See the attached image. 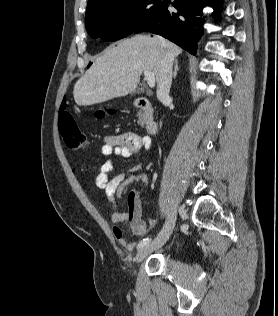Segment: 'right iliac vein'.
I'll use <instances>...</instances> for the list:
<instances>
[{"label": "right iliac vein", "mask_w": 278, "mask_h": 316, "mask_svg": "<svg viewBox=\"0 0 278 316\" xmlns=\"http://www.w3.org/2000/svg\"><path fill=\"white\" fill-rule=\"evenodd\" d=\"M177 207L173 206L167 216L166 223L161 231V233L158 235V237L151 243L147 244L146 246L142 247L136 257L135 262L138 264L140 263L146 256H148L151 252L154 250L159 249L162 247L167 240L169 239L173 228L175 226L176 218H177Z\"/></svg>", "instance_id": "63e3f726"}]
</instances>
